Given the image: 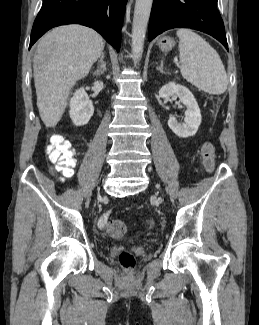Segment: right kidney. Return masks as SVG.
Listing matches in <instances>:
<instances>
[{
	"mask_svg": "<svg viewBox=\"0 0 259 325\" xmlns=\"http://www.w3.org/2000/svg\"><path fill=\"white\" fill-rule=\"evenodd\" d=\"M69 106L70 118L76 126L87 124L94 113L93 103L83 87L76 90Z\"/></svg>",
	"mask_w": 259,
	"mask_h": 325,
	"instance_id": "right-kidney-1",
	"label": "right kidney"
}]
</instances>
